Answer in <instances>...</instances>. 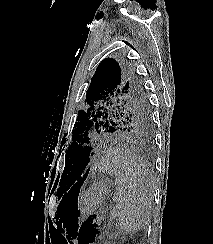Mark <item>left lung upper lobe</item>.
Instances as JSON below:
<instances>
[{"label": "left lung upper lobe", "mask_w": 213, "mask_h": 244, "mask_svg": "<svg viewBox=\"0 0 213 244\" xmlns=\"http://www.w3.org/2000/svg\"><path fill=\"white\" fill-rule=\"evenodd\" d=\"M85 110L78 112L73 143L66 152L59 192L74 187L83 164L90 155L89 133H124L149 139L152 134L151 107L140 78L129 64L119 66L112 58L104 59L96 69L86 93Z\"/></svg>", "instance_id": "obj_1"}]
</instances>
